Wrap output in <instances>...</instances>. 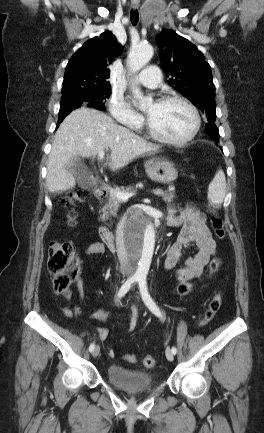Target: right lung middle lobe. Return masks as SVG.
I'll list each match as a JSON object with an SVG mask.
<instances>
[{"label":"right lung middle lobe","instance_id":"1","mask_svg":"<svg viewBox=\"0 0 264 433\" xmlns=\"http://www.w3.org/2000/svg\"><path fill=\"white\" fill-rule=\"evenodd\" d=\"M111 87H101L91 90H81L68 94L62 97L59 120L65 118L72 110L79 107H93L99 110H104V101L109 98Z\"/></svg>","mask_w":264,"mask_h":433}]
</instances>
